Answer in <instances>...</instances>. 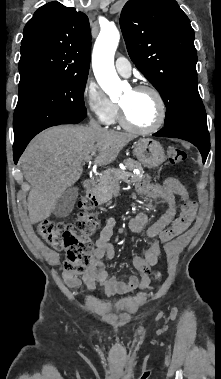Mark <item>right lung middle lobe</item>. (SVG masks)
Segmentation results:
<instances>
[{
	"mask_svg": "<svg viewBox=\"0 0 221 379\" xmlns=\"http://www.w3.org/2000/svg\"><path fill=\"white\" fill-rule=\"evenodd\" d=\"M86 81L87 76L61 77L19 87L13 119L14 143L31 140L66 117L84 119Z\"/></svg>",
	"mask_w": 221,
	"mask_h": 379,
	"instance_id": "right-lung-middle-lobe-1",
	"label": "right lung middle lobe"
}]
</instances>
